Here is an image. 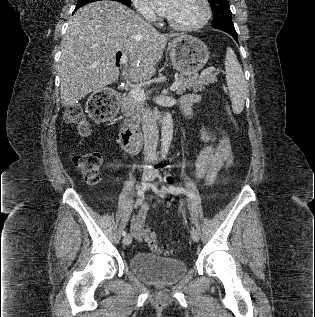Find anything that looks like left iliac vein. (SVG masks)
<instances>
[{
	"mask_svg": "<svg viewBox=\"0 0 315 317\" xmlns=\"http://www.w3.org/2000/svg\"><path fill=\"white\" fill-rule=\"evenodd\" d=\"M152 190L155 192V193H157L158 195H160V196H164L165 194H166V191L165 190H163V189H158L157 188V186H156V184L154 183V184H152ZM191 238L193 239V241H195V242H198L199 241V238H200V235H199V232H198V230L195 228V227H192V229H191Z\"/></svg>",
	"mask_w": 315,
	"mask_h": 317,
	"instance_id": "1",
	"label": "left iliac vein"
}]
</instances>
